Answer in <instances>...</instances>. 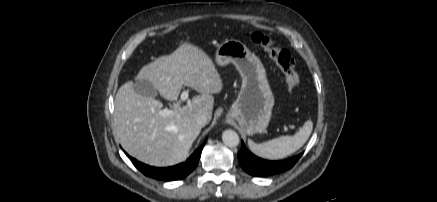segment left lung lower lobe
Wrapping results in <instances>:
<instances>
[{"label": "left lung lower lobe", "instance_id": "1", "mask_svg": "<svg viewBox=\"0 0 437 202\" xmlns=\"http://www.w3.org/2000/svg\"><path fill=\"white\" fill-rule=\"evenodd\" d=\"M302 153L280 161H269L256 157L248 151L242 141V147L238 153V160L241 167L250 175L256 177H265L279 172L289 170L294 166Z\"/></svg>", "mask_w": 437, "mask_h": 202}]
</instances>
